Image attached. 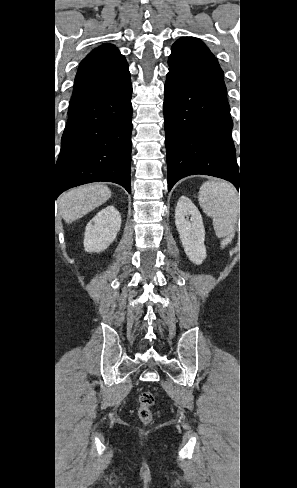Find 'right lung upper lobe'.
<instances>
[{"instance_id":"obj_1","label":"right lung upper lobe","mask_w":297,"mask_h":488,"mask_svg":"<svg viewBox=\"0 0 297 488\" xmlns=\"http://www.w3.org/2000/svg\"><path fill=\"white\" fill-rule=\"evenodd\" d=\"M127 74L125 57L114 45L105 43L92 50L79 65L69 109L99 95Z\"/></svg>"}]
</instances>
